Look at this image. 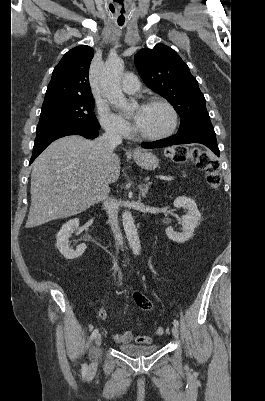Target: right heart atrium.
<instances>
[{"mask_svg": "<svg viewBox=\"0 0 265 401\" xmlns=\"http://www.w3.org/2000/svg\"><path fill=\"white\" fill-rule=\"evenodd\" d=\"M98 119L100 126L110 137H127L132 133L130 125L113 114L106 105L98 106Z\"/></svg>", "mask_w": 265, "mask_h": 401, "instance_id": "d8ad5b80", "label": "right heart atrium"}]
</instances>
